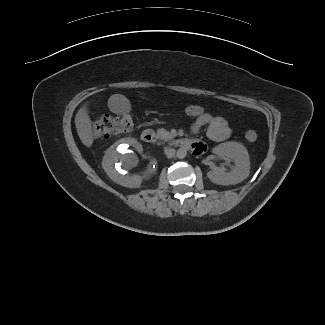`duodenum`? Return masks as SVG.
I'll use <instances>...</instances> for the list:
<instances>
[{
    "mask_svg": "<svg viewBox=\"0 0 325 325\" xmlns=\"http://www.w3.org/2000/svg\"><path fill=\"white\" fill-rule=\"evenodd\" d=\"M141 138L145 143L151 144L156 140L155 133L151 129H146L142 132ZM175 145L179 148H189L193 144L187 139H176Z\"/></svg>",
    "mask_w": 325,
    "mask_h": 325,
    "instance_id": "duodenum-1",
    "label": "duodenum"
}]
</instances>
